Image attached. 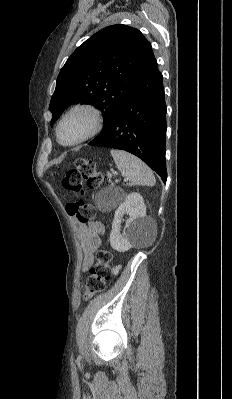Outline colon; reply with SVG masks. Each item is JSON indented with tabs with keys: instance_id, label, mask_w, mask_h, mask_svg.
Segmentation results:
<instances>
[{
	"instance_id": "1",
	"label": "colon",
	"mask_w": 232,
	"mask_h": 399,
	"mask_svg": "<svg viewBox=\"0 0 232 399\" xmlns=\"http://www.w3.org/2000/svg\"><path fill=\"white\" fill-rule=\"evenodd\" d=\"M95 160H86L78 158L77 162H74V168L77 170H71V175H64L62 185L68 186V191H71V196H84L82 187L86 186V180H93L101 183L105 181V174L102 171H95L94 166ZM106 183H111V176H106ZM77 203H65V208L70 214V218H80V222H87V219L94 217L96 213L95 209L91 208V203H84V198H77ZM94 263H90V269H88L89 277H86V284L83 288L86 289V297H91V294L101 296L103 287H107V278L113 277V264L114 255L109 251H99L94 249ZM107 263L108 267H107Z\"/></svg>"
}]
</instances>
